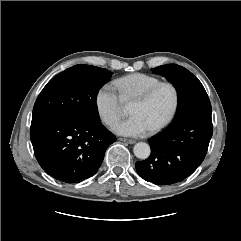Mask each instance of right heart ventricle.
<instances>
[{
    "mask_svg": "<svg viewBox=\"0 0 241 241\" xmlns=\"http://www.w3.org/2000/svg\"><path fill=\"white\" fill-rule=\"evenodd\" d=\"M161 82V79L146 73H133L113 82V86L122 101H133L137 96Z\"/></svg>",
    "mask_w": 241,
    "mask_h": 241,
    "instance_id": "e07e8e85",
    "label": "right heart ventricle"
}]
</instances>
